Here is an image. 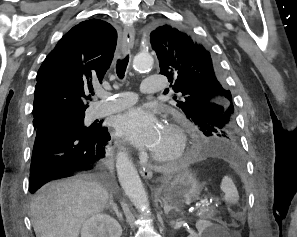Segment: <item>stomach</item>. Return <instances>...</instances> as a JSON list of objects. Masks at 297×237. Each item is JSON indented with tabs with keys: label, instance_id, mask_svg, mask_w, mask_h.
<instances>
[{
	"label": "stomach",
	"instance_id": "0dacf381",
	"mask_svg": "<svg viewBox=\"0 0 297 237\" xmlns=\"http://www.w3.org/2000/svg\"><path fill=\"white\" fill-rule=\"evenodd\" d=\"M202 188L203 185L189 170H183L164 186L163 201L174 207L189 205L199 199Z\"/></svg>",
	"mask_w": 297,
	"mask_h": 237
}]
</instances>
